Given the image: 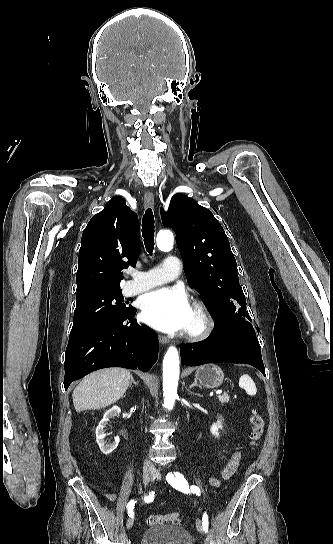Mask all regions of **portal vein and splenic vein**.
Masks as SVG:
<instances>
[{"label": "portal vein and splenic vein", "instance_id": "1", "mask_svg": "<svg viewBox=\"0 0 333 544\" xmlns=\"http://www.w3.org/2000/svg\"><path fill=\"white\" fill-rule=\"evenodd\" d=\"M221 393H222V390L216 391V394H221Z\"/></svg>", "mask_w": 333, "mask_h": 544}]
</instances>
